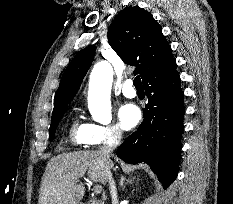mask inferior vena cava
<instances>
[{
    "instance_id": "inferior-vena-cava-1",
    "label": "inferior vena cava",
    "mask_w": 233,
    "mask_h": 204,
    "mask_svg": "<svg viewBox=\"0 0 233 204\" xmlns=\"http://www.w3.org/2000/svg\"><path fill=\"white\" fill-rule=\"evenodd\" d=\"M121 140V132L116 131L108 140H106L103 145L100 147L99 152L107 159L109 162V169L107 170V179L109 183L110 192L112 194V204H116V187L115 182L112 177L111 169L114 168V162L112 159L111 153L115 147L119 144Z\"/></svg>"
}]
</instances>
